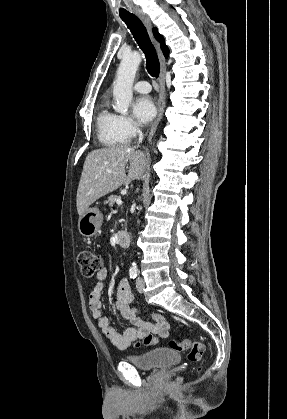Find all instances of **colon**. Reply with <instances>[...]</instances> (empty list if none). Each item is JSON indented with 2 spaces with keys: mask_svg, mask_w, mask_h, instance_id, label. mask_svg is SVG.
I'll use <instances>...</instances> for the list:
<instances>
[{
  "mask_svg": "<svg viewBox=\"0 0 287 419\" xmlns=\"http://www.w3.org/2000/svg\"><path fill=\"white\" fill-rule=\"evenodd\" d=\"M78 262L81 266L83 275L86 277H91L103 269L101 256L91 250L81 251L78 256ZM155 341V338L151 335H148L143 339L145 344H152ZM139 345L140 343L137 342L136 346ZM169 345L171 348L179 352H185L189 361L198 362L203 358L204 345L200 342H195L185 338L179 340H171Z\"/></svg>",
  "mask_w": 287,
  "mask_h": 419,
  "instance_id": "obj_1",
  "label": "colon"
}]
</instances>
